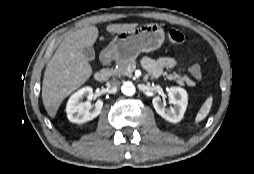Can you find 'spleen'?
I'll return each instance as SVG.
<instances>
[{
	"instance_id": "1",
	"label": "spleen",
	"mask_w": 254,
	"mask_h": 174,
	"mask_svg": "<svg viewBox=\"0 0 254 174\" xmlns=\"http://www.w3.org/2000/svg\"><path fill=\"white\" fill-rule=\"evenodd\" d=\"M213 98L212 96L208 97L206 101L201 106L200 110L197 113V116L195 118V121L198 123L206 118L208 113L210 112L211 106H212Z\"/></svg>"
}]
</instances>
